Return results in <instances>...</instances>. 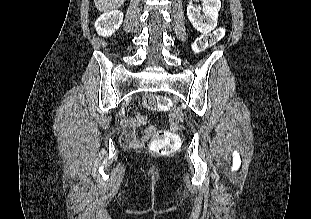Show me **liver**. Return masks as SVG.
<instances>
[{"label":"liver","mask_w":311,"mask_h":219,"mask_svg":"<svg viewBox=\"0 0 311 219\" xmlns=\"http://www.w3.org/2000/svg\"><path fill=\"white\" fill-rule=\"evenodd\" d=\"M125 0H94V4L100 12H109L123 5Z\"/></svg>","instance_id":"liver-1"}]
</instances>
